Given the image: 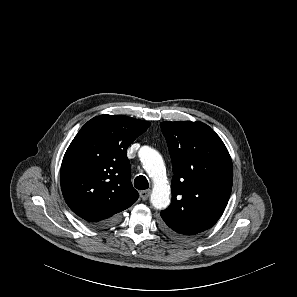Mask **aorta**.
<instances>
[{
  "instance_id": "obj_1",
  "label": "aorta",
  "mask_w": 297,
  "mask_h": 297,
  "mask_svg": "<svg viewBox=\"0 0 297 297\" xmlns=\"http://www.w3.org/2000/svg\"><path fill=\"white\" fill-rule=\"evenodd\" d=\"M141 162L153 181L151 204L156 209L166 208L170 201V186L166 180L165 165L161 155L156 150L147 148L141 156Z\"/></svg>"
}]
</instances>
